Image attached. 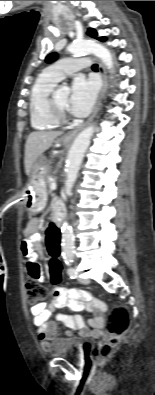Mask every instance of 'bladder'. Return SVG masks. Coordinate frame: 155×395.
<instances>
[{
	"mask_svg": "<svg viewBox=\"0 0 155 395\" xmlns=\"http://www.w3.org/2000/svg\"><path fill=\"white\" fill-rule=\"evenodd\" d=\"M90 345L78 338L55 339L50 348V353L56 357L83 359Z\"/></svg>",
	"mask_w": 155,
	"mask_h": 395,
	"instance_id": "bladder-1",
	"label": "bladder"
}]
</instances>
